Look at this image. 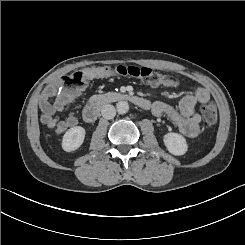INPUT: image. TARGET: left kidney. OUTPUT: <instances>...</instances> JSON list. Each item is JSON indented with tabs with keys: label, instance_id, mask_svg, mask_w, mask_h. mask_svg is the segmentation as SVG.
I'll list each match as a JSON object with an SVG mask.
<instances>
[{
	"label": "left kidney",
	"instance_id": "5707ae66",
	"mask_svg": "<svg viewBox=\"0 0 245 245\" xmlns=\"http://www.w3.org/2000/svg\"><path fill=\"white\" fill-rule=\"evenodd\" d=\"M163 143L168 152L175 156H182L188 152V143L185 137L176 132H168L163 136Z\"/></svg>",
	"mask_w": 245,
	"mask_h": 245
}]
</instances>
